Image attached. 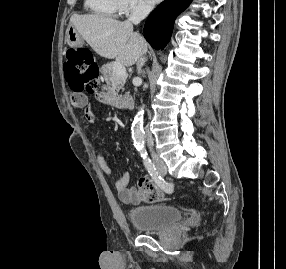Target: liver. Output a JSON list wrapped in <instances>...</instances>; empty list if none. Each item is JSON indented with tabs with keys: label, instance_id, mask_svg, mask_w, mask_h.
I'll return each instance as SVG.
<instances>
[{
	"label": "liver",
	"instance_id": "liver-1",
	"mask_svg": "<svg viewBox=\"0 0 286 269\" xmlns=\"http://www.w3.org/2000/svg\"><path fill=\"white\" fill-rule=\"evenodd\" d=\"M70 26L86 40L101 57L116 58L124 66L138 63L147 43L128 21H118L98 14L78 15L70 18Z\"/></svg>",
	"mask_w": 286,
	"mask_h": 269
}]
</instances>
